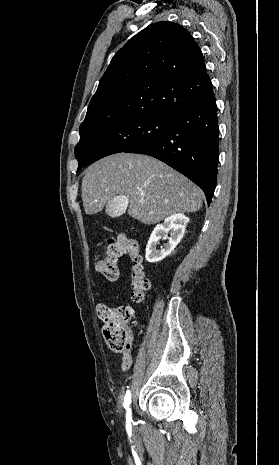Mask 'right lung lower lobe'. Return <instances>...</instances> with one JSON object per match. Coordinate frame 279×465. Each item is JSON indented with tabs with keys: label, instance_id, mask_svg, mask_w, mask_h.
Wrapping results in <instances>:
<instances>
[{
	"label": "right lung lower lobe",
	"instance_id": "1",
	"mask_svg": "<svg viewBox=\"0 0 279 465\" xmlns=\"http://www.w3.org/2000/svg\"><path fill=\"white\" fill-rule=\"evenodd\" d=\"M134 153L155 157L184 174L204 191L210 204L219 157L218 115L212 88L202 101L174 113L169 129Z\"/></svg>",
	"mask_w": 279,
	"mask_h": 465
}]
</instances>
